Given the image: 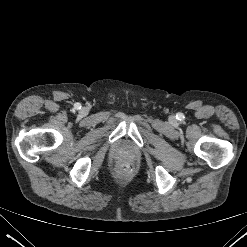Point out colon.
<instances>
[{
    "label": "colon",
    "mask_w": 247,
    "mask_h": 247,
    "mask_svg": "<svg viewBox=\"0 0 247 247\" xmlns=\"http://www.w3.org/2000/svg\"><path fill=\"white\" fill-rule=\"evenodd\" d=\"M120 170L122 172H126L127 173V172L132 171V166L130 164H123V165L120 166Z\"/></svg>",
    "instance_id": "5ec220e1"
}]
</instances>
